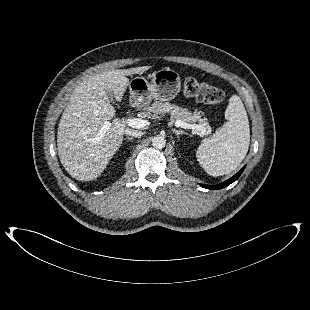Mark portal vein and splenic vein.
<instances>
[{"label":"portal vein and splenic vein","mask_w":310,"mask_h":310,"mask_svg":"<svg viewBox=\"0 0 310 310\" xmlns=\"http://www.w3.org/2000/svg\"><path fill=\"white\" fill-rule=\"evenodd\" d=\"M126 123L132 127V128H144L145 126H147L149 124V122L145 119H140V118H131V119H127ZM175 126L176 127H180V128H184V129H192L195 130L197 132V134L199 135H203L204 133V129L198 125V124H188L186 122L177 120L175 122ZM109 129L108 124L104 125L100 132L97 135V138H101L103 133L106 132V130Z\"/></svg>","instance_id":"portal-vein-and-splenic-vein-1"}]
</instances>
